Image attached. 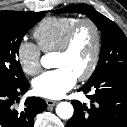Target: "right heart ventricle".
<instances>
[{
	"mask_svg": "<svg viewBox=\"0 0 127 127\" xmlns=\"http://www.w3.org/2000/svg\"><path fill=\"white\" fill-rule=\"evenodd\" d=\"M79 20L74 16H52L43 19L33 31L39 49L44 53L56 50L66 33Z\"/></svg>",
	"mask_w": 127,
	"mask_h": 127,
	"instance_id": "right-heart-ventricle-1",
	"label": "right heart ventricle"
}]
</instances>
